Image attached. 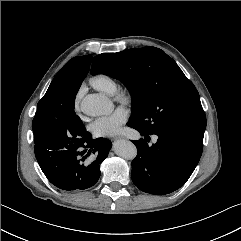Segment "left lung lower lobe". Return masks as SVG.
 Listing matches in <instances>:
<instances>
[{"label": "left lung lower lobe", "mask_w": 241, "mask_h": 241, "mask_svg": "<svg viewBox=\"0 0 241 241\" xmlns=\"http://www.w3.org/2000/svg\"><path fill=\"white\" fill-rule=\"evenodd\" d=\"M129 127L149 137L130 121ZM156 144L149 146L143 139L133 141L137 157L132 161V180L143 192L154 195L169 194L189 179L203 151L204 132L169 126L155 133Z\"/></svg>", "instance_id": "left-lung-lower-lobe-1"}]
</instances>
